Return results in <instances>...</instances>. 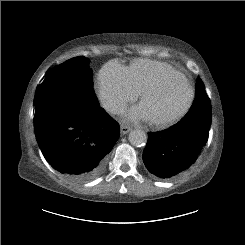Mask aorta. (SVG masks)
Segmentation results:
<instances>
[{"label":"aorta","mask_w":245,"mask_h":245,"mask_svg":"<svg viewBox=\"0 0 245 245\" xmlns=\"http://www.w3.org/2000/svg\"><path fill=\"white\" fill-rule=\"evenodd\" d=\"M129 141L135 147H142L147 143V135L142 130H133L129 134Z\"/></svg>","instance_id":"aorta-1"}]
</instances>
